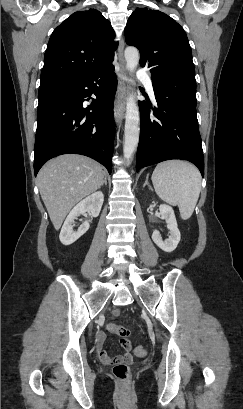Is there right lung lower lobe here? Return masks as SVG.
I'll use <instances>...</instances> for the list:
<instances>
[{
    "label": "right lung lower lobe",
    "instance_id": "obj_1",
    "mask_svg": "<svg viewBox=\"0 0 243 409\" xmlns=\"http://www.w3.org/2000/svg\"><path fill=\"white\" fill-rule=\"evenodd\" d=\"M116 89L114 66L108 64L82 79L39 90L35 176L46 161L66 153L91 157L111 174ZM92 93L97 99L85 110L83 102Z\"/></svg>",
    "mask_w": 243,
    "mask_h": 409
}]
</instances>
